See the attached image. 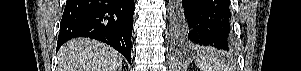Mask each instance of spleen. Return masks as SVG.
<instances>
[{
	"label": "spleen",
	"mask_w": 301,
	"mask_h": 71,
	"mask_svg": "<svg viewBox=\"0 0 301 71\" xmlns=\"http://www.w3.org/2000/svg\"><path fill=\"white\" fill-rule=\"evenodd\" d=\"M195 63L200 71H227V66L212 56H202Z\"/></svg>",
	"instance_id": "1"
}]
</instances>
